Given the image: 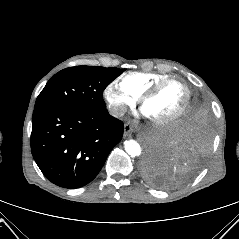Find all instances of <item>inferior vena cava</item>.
I'll return each mask as SVG.
<instances>
[{
    "mask_svg": "<svg viewBox=\"0 0 239 239\" xmlns=\"http://www.w3.org/2000/svg\"><path fill=\"white\" fill-rule=\"evenodd\" d=\"M126 108L124 106H114L109 108V113L113 117H122L125 114Z\"/></svg>",
    "mask_w": 239,
    "mask_h": 239,
    "instance_id": "inferior-vena-cava-1",
    "label": "inferior vena cava"
}]
</instances>
